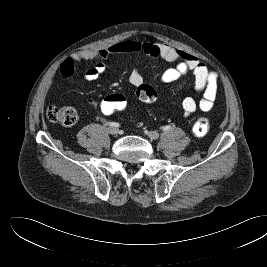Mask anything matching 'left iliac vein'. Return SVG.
<instances>
[{"instance_id": "1", "label": "left iliac vein", "mask_w": 267, "mask_h": 267, "mask_svg": "<svg viewBox=\"0 0 267 267\" xmlns=\"http://www.w3.org/2000/svg\"><path fill=\"white\" fill-rule=\"evenodd\" d=\"M147 136L152 140H156L159 138V133L156 131H150V132H147Z\"/></svg>"}]
</instances>
